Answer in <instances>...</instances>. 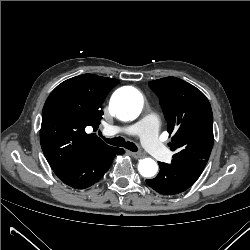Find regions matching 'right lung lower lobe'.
<instances>
[{
	"label": "right lung lower lobe",
	"mask_w": 250,
	"mask_h": 250,
	"mask_svg": "<svg viewBox=\"0 0 250 250\" xmlns=\"http://www.w3.org/2000/svg\"><path fill=\"white\" fill-rule=\"evenodd\" d=\"M124 150L109 147L93 153L82 163L53 170L67 185L75 189H84L103 177L110 168L115 155L123 154Z\"/></svg>",
	"instance_id": "obj_1"
}]
</instances>
